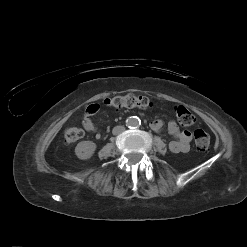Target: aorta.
Here are the masks:
<instances>
[{
  "label": "aorta",
  "mask_w": 247,
  "mask_h": 247,
  "mask_svg": "<svg viewBox=\"0 0 247 247\" xmlns=\"http://www.w3.org/2000/svg\"><path fill=\"white\" fill-rule=\"evenodd\" d=\"M140 124V119L136 116H131L126 120L128 127H137Z\"/></svg>",
  "instance_id": "aorta-1"
}]
</instances>
